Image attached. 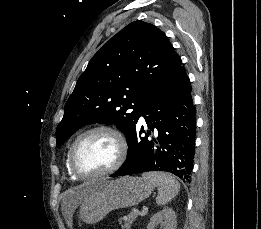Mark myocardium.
<instances>
[{"mask_svg": "<svg viewBox=\"0 0 261 229\" xmlns=\"http://www.w3.org/2000/svg\"><path fill=\"white\" fill-rule=\"evenodd\" d=\"M95 133H107L113 137L118 149L117 158L114 164L110 168L104 171L94 172V173L83 172L80 169H78L77 166L75 165L74 162L75 153L78 147L83 143V141ZM127 153H128L127 141L124 135L118 129L106 125L96 126L83 132L73 142L69 150L68 167L73 172V174L84 179L107 176L114 173L122 166V164L126 160Z\"/></svg>", "mask_w": 261, "mask_h": 229, "instance_id": "myocardium-1", "label": "myocardium"}]
</instances>
